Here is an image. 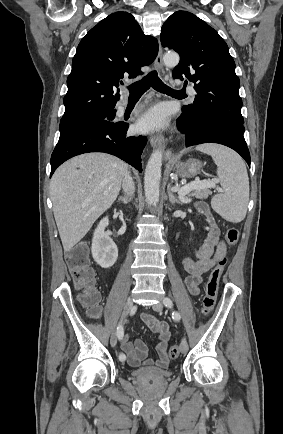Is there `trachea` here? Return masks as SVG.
I'll use <instances>...</instances> for the list:
<instances>
[{"mask_svg":"<svg viewBox=\"0 0 283 434\" xmlns=\"http://www.w3.org/2000/svg\"><path fill=\"white\" fill-rule=\"evenodd\" d=\"M150 87L156 91L169 95H186L183 91L170 88L162 82L156 70L151 71L140 81L131 84L128 89L130 97H141Z\"/></svg>","mask_w":283,"mask_h":434,"instance_id":"obj_1","label":"trachea"}]
</instances>
